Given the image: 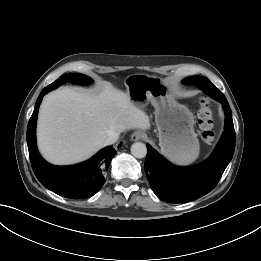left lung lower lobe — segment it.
Here are the masks:
<instances>
[{"label":"left lung lower lobe","mask_w":261,"mask_h":261,"mask_svg":"<svg viewBox=\"0 0 261 261\" xmlns=\"http://www.w3.org/2000/svg\"><path fill=\"white\" fill-rule=\"evenodd\" d=\"M194 81L204 92L222 103L226 115L225 129L212 155L190 168L169 163L147 145L144 168L150 186L158 198L169 203L190 202L210 192L219 182L235 150L232 112L225 96L205 77Z\"/></svg>","instance_id":"left-lung-lower-lobe-1"}]
</instances>
